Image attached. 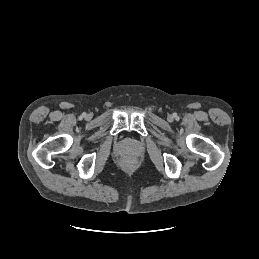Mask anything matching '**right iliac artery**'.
Wrapping results in <instances>:
<instances>
[{
	"mask_svg": "<svg viewBox=\"0 0 259 259\" xmlns=\"http://www.w3.org/2000/svg\"><path fill=\"white\" fill-rule=\"evenodd\" d=\"M86 116V114L85 113H83L82 115H81V118H83V117H85Z\"/></svg>",
	"mask_w": 259,
	"mask_h": 259,
	"instance_id": "obj_1",
	"label": "right iliac artery"
}]
</instances>
